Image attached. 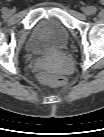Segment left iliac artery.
<instances>
[{"mask_svg":"<svg viewBox=\"0 0 104 137\" xmlns=\"http://www.w3.org/2000/svg\"><path fill=\"white\" fill-rule=\"evenodd\" d=\"M92 9H91V13H96V8L94 6H91Z\"/></svg>","mask_w":104,"mask_h":137,"instance_id":"44dca946","label":"left iliac artery"}]
</instances>
